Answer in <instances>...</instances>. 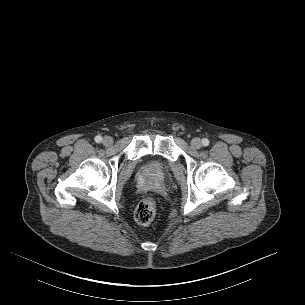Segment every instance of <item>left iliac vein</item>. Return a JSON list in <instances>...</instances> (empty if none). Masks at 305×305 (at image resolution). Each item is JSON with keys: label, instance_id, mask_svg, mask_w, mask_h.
I'll return each mask as SVG.
<instances>
[{"label": "left iliac vein", "instance_id": "obj_1", "mask_svg": "<svg viewBox=\"0 0 305 305\" xmlns=\"http://www.w3.org/2000/svg\"><path fill=\"white\" fill-rule=\"evenodd\" d=\"M201 146H202V142L199 138L196 137L191 140V147L193 149H199Z\"/></svg>", "mask_w": 305, "mask_h": 305}]
</instances>
